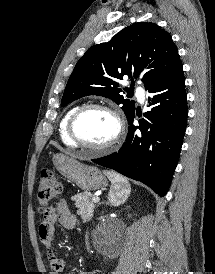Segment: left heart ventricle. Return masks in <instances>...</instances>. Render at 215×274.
<instances>
[{
  "label": "left heart ventricle",
  "mask_w": 215,
  "mask_h": 274,
  "mask_svg": "<svg viewBox=\"0 0 215 274\" xmlns=\"http://www.w3.org/2000/svg\"><path fill=\"white\" fill-rule=\"evenodd\" d=\"M117 126L113 116L100 109L86 111L77 121L79 137L92 145H102L116 134Z\"/></svg>",
  "instance_id": "obj_1"
}]
</instances>
